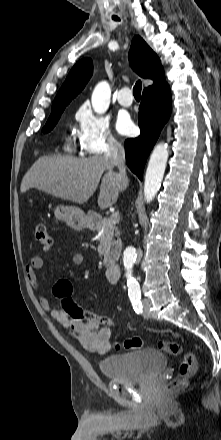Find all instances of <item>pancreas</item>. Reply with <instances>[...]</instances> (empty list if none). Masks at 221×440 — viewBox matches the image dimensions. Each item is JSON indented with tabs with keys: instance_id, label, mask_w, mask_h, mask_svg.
<instances>
[{
	"instance_id": "pancreas-1",
	"label": "pancreas",
	"mask_w": 221,
	"mask_h": 440,
	"mask_svg": "<svg viewBox=\"0 0 221 440\" xmlns=\"http://www.w3.org/2000/svg\"><path fill=\"white\" fill-rule=\"evenodd\" d=\"M94 230L101 232V235L98 238V241L100 242V246L98 247L99 255H105V251L109 250L113 246H116L115 252L117 259L120 255V244L119 241L114 239V236L118 238L120 233L116 225L110 222L109 217H106L96 224Z\"/></svg>"
}]
</instances>
